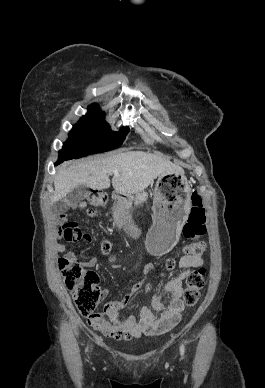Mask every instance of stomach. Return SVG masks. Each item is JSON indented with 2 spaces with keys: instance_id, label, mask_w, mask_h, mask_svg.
<instances>
[{
  "instance_id": "stomach-1",
  "label": "stomach",
  "mask_w": 265,
  "mask_h": 388,
  "mask_svg": "<svg viewBox=\"0 0 265 388\" xmlns=\"http://www.w3.org/2000/svg\"><path fill=\"white\" fill-rule=\"evenodd\" d=\"M191 207V187L184 173L171 172L157 177L153 198L154 222L147 245L154 255L168 253L176 245ZM128 198H119L114 211L116 220L133 230Z\"/></svg>"
}]
</instances>
